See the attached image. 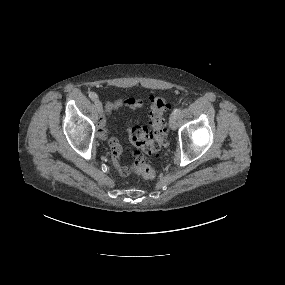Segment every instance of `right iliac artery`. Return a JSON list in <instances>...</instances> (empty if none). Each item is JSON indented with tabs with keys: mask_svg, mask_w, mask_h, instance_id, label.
<instances>
[{
	"mask_svg": "<svg viewBox=\"0 0 285 285\" xmlns=\"http://www.w3.org/2000/svg\"><path fill=\"white\" fill-rule=\"evenodd\" d=\"M89 97H90L92 100H96V99H97V94L94 93V92H90V93H89Z\"/></svg>",
	"mask_w": 285,
	"mask_h": 285,
	"instance_id": "obj_1",
	"label": "right iliac artery"
}]
</instances>
